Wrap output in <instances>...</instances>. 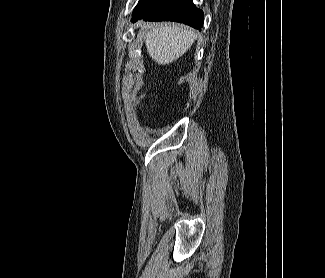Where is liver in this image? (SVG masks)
<instances>
[{"label": "liver", "instance_id": "obj_1", "mask_svg": "<svg viewBox=\"0 0 325 278\" xmlns=\"http://www.w3.org/2000/svg\"><path fill=\"white\" fill-rule=\"evenodd\" d=\"M143 35L150 57L161 65L177 60L197 38L194 30L171 24L148 26Z\"/></svg>", "mask_w": 325, "mask_h": 278}]
</instances>
